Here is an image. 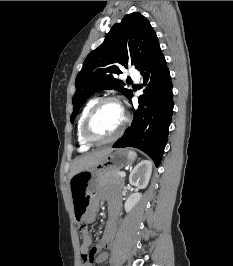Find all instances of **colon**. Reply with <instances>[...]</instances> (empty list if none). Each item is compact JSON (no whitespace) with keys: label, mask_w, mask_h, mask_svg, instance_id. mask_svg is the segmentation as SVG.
<instances>
[{"label":"colon","mask_w":233,"mask_h":266,"mask_svg":"<svg viewBox=\"0 0 233 266\" xmlns=\"http://www.w3.org/2000/svg\"><path fill=\"white\" fill-rule=\"evenodd\" d=\"M86 229L85 224H81V231ZM84 263H90L92 260V255L91 254H86L83 256Z\"/></svg>","instance_id":"5ec220e1"}]
</instances>
